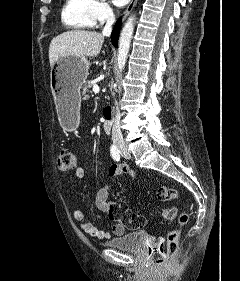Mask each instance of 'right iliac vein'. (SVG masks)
<instances>
[{
    "label": "right iliac vein",
    "mask_w": 240,
    "mask_h": 281,
    "mask_svg": "<svg viewBox=\"0 0 240 281\" xmlns=\"http://www.w3.org/2000/svg\"><path fill=\"white\" fill-rule=\"evenodd\" d=\"M120 150H121V152H124V151H126V149H125V148H120Z\"/></svg>",
    "instance_id": "63e3f726"
}]
</instances>
